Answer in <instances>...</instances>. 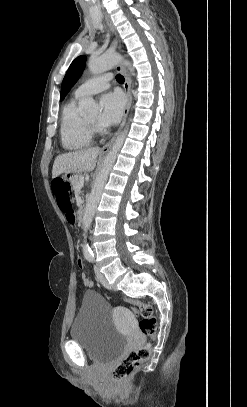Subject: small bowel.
<instances>
[{"label":"small bowel","instance_id":"1","mask_svg":"<svg viewBox=\"0 0 247 407\" xmlns=\"http://www.w3.org/2000/svg\"><path fill=\"white\" fill-rule=\"evenodd\" d=\"M64 215H65L66 221L69 224H71V225L75 224L76 218H75V213H74L73 209L69 213H66ZM78 265L82 266V261L80 259L78 260ZM82 280H83L84 285L87 287H91L93 285L92 280H90L84 273L82 274Z\"/></svg>","mask_w":247,"mask_h":407}]
</instances>
